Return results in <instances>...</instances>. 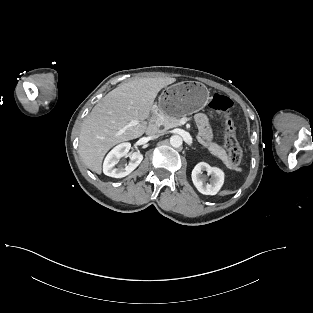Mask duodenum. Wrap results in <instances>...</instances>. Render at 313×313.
I'll use <instances>...</instances> for the list:
<instances>
[{"label":"duodenum","instance_id":"duodenum-1","mask_svg":"<svg viewBox=\"0 0 313 313\" xmlns=\"http://www.w3.org/2000/svg\"><path fill=\"white\" fill-rule=\"evenodd\" d=\"M158 117L157 116H154L151 121H150V124L147 128V133L150 134V135H153L157 132L158 130Z\"/></svg>","mask_w":313,"mask_h":313}]
</instances>
